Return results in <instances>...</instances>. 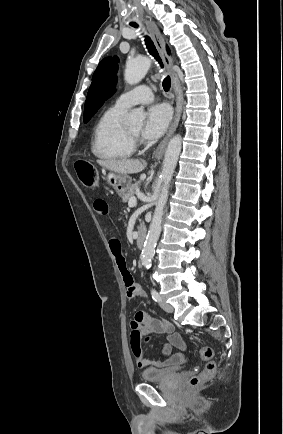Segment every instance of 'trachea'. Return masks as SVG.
Here are the masks:
<instances>
[{
  "mask_svg": "<svg viewBox=\"0 0 283 434\" xmlns=\"http://www.w3.org/2000/svg\"><path fill=\"white\" fill-rule=\"evenodd\" d=\"M131 26H133L135 28L138 27V25L135 24V23L131 24ZM144 41H145L146 48L148 49V52L158 61V63L160 64L161 68H163L162 60L159 57V54H158V52H157V50L155 48V45H154L153 41L148 36H145ZM170 85H171L170 77L166 76L164 78V80H163V83H162L164 91L167 92L170 89Z\"/></svg>",
  "mask_w": 283,
  "mask_h": 434,
  "instance_id": "obj_1",
  "label": "trachea"
}]
</instances>
